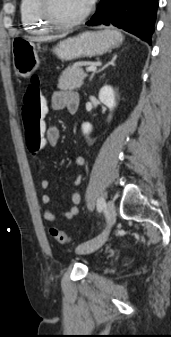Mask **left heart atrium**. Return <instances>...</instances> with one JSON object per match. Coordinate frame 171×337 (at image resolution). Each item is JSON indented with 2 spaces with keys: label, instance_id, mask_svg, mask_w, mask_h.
<instances>
[{
  "label": "left heart atrium",
  "instance_id": "left-heart-atrium-1",
  "mask_svg": "<svg viewBox=\"0 0 171 337\" xmlns=\"http://www.w3.org/2000/svg\"><path fill=\"white\" fill-rule=\"evenodd\" d=\"M87 6H90L93 4L95 0H84Z\"/></svg>",
  "mask_w": 171,
  "mask_h": 337
}]
</instances>
